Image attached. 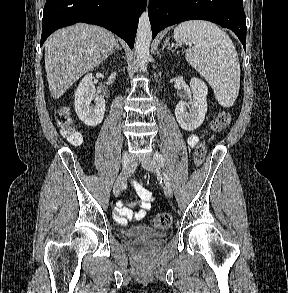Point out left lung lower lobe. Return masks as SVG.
I'll list each match as a JSON object with an SVG mask.
<instances>
[{
    "mask_svg": "<svg viewBox=\"0 0 288 293\" xmlns=\"http://www.w3.org/2000/svg\"><path fill=\"white\" fill-rule=\"evenodd\" d=\"M152 36L186 20H208L231 29L246 51V16L242 0H149Z\"/></svg>",
    "mask_w": 288,
    "mask_h": 293,
    "instance_id": "obj_1",
    "label": "left lung lower lobe"
}]
</instances>
